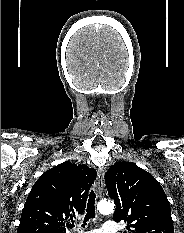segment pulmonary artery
<instances>
[{
	"mask_svg": "<svg viewBox=\"0 0 184 233\" xmlns=\"http://www.w3.org/2000/svg\"><path fill=\"white\" fill-rule=\"evenodd\" d=\"M118 227L114 221H106L99 229H93L90 231H79V233H117Z\"/></svg>",
	"mask_w": 184,
	"mask_h": 233,
	"instance_id": "obj_1",
	"label": "pulmonary artery"
}]
</instances>
